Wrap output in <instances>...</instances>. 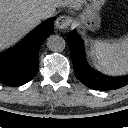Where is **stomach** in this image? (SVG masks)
I'll list each match as a JSON object with an SVG mask.
<instances>
[{"mask_svg":"<svg viewBox=\"0 0 128 128\" xmlns=\"http://www.w3.org/2000/svg\"><path fill=\"white\" fill-rule=\"evenodd\" d=\"M106 0H84V9L82 13L75 19L77 25L86 30L95 31L100 28L101 17L100 9Z\"/></svg>","mask_w":128,"mask_h":128,"instance_id":"stomach-1","label":"stomach"}]
</instances>
